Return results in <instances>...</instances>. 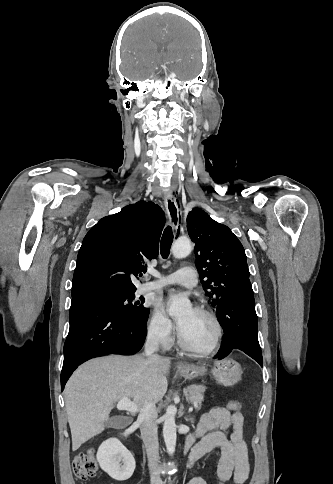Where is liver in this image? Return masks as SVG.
Returning a JSON list of instances; mask_svg holds the SVG:
<instances>
[{"label":"liver","mask_w":333,"mask_h":484,"mask_svg":"<svg viewBox=\"0 0 333 484\" xmlns=\"http://www.w3.org/2000/svg\"><path fill=\"white\" fill-rule=\"evenodd\" d=\"M170 366L168 358L142 356H107L80 366L64 389L73 451L104 430L114 404L121 399H132L139 410L148 400L161 401Z\"/></svg>","instance_id":"liver-1"}]
</instances>
